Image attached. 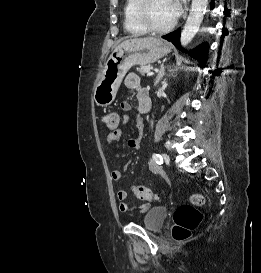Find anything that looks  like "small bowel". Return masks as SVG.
Masks as SVG:
<instances>
[{
	"label": "small bowel",
	"instance_id": "c3829d8e",
	"mask_svg": "<svg viewBox=\"0 0 261 273\" xmlns=\"http://www.w3.org/2000/svg\"><path fill=\"white\" fill-rule=\"evenodd\" d=\"M124 84L128 89H132V90L136 91V99L138 102L139 110L141 111V105H142V103L144 101V97H145V95H147V93L144 89L141 88L139 77L134 73H129L125 77ZM120 107H121V110L125 113V115L122 118L120 127L111 131L108 134V136H107V143L108 144H113V143H116L119 141V139L121 137L122 127L125 126L128 122V116L126 113L131 110V105L128 102H123V103H121ZM143 127H144L143 118L140 114H138L137 118H136V134H135V136L130 138L127 142V145L129 148H131L133 150L140 149L141 135H142ZM115 155H116V157H119L118 148L116 149ZM130 164H131V161H128L122 166L121 170H113L111 172V178L114 181H119L122 178L123 172H126L128 170ZM150 169L155 173H161L159 168L154 164H152L150 166ZM127 196H128V194H127L126 190L119 189L117 191V197L120 201L119 209L123 213H128L133 210V207L126 202ZM138 209L140 212H145L148 209V204H142L138 207Z\"/></svg>",
	"mask_w": 261,
	"mask_h": 273
}]
</instances>
